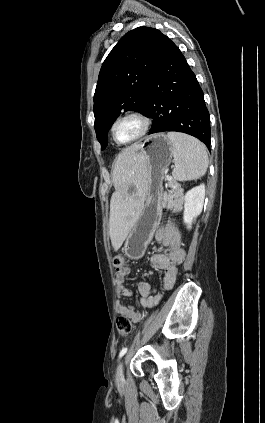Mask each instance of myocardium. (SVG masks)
<instances>
[{"instance_id":"f54148a6","label":"myocardium","mask_w":265,"mask_h":423,"mask_svg":"<svg viewBox=\"0 0 265 423\" xmlns=\"http://www.w3.org/2000/svg\"><path fill=\"white\" fill-rule=\"evenodd\" d=\"M129 119L137 120L140 123V130L137 133V135L135 137H133L132 139H130L128 141H120V140H118V138L116 136V127L119 123H121L125 120H129ZM150 128H151V121L145 114H143L140 111L129 110V111H126V112L120 114L118 117H116L114 119V121L111 124L110 131H111V135H112L113 140L117 144H119V145H129V144H132L134 142L141 140L149 132Z\"/></svg>"}]
</instances>
